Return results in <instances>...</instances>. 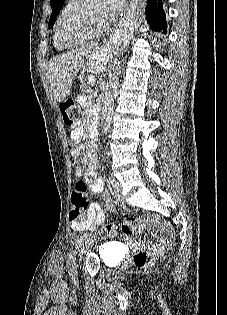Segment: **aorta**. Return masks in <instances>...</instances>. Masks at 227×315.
<instances>
[{"mask_svg":"<svg viewBox=\"0 0 227 315\" xmlns=\"http://www.w3.org/2000/svg\"><path fill=\"white\" fill-rule=\"evenodd\" d=\"M132 33L133 30L129 26L119 27L110 40L112 50L118 51L122 49L131 39ZM118 83V75L112 73L105 84V97L101 108V127L103 134H107L110 129Z\"/></svg>","mask_w":227,"mask_h":315,"instance_id":"obj_1","label":"aorta"}]
</instances>
